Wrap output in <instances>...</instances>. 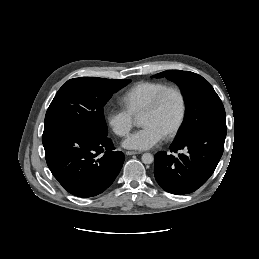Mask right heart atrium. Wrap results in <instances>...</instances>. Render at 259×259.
I'll return each instance as SVG.
<instances>
[{
    "label": "right heart atrium",
    "mask_w": 259,
    "mask_h": 259,
    "mask_svg": "<svg viewBox=\"0 0 259 259\" xmlns=\"http://www.w3.org/2000/svg\"><path fill=\"white\" fill-rule=\"evenodd\" d=\"M106 120L111 130L119 137H125L133 128L136 117L126 108H112L106 113Z\"/></svg>",
    "instance_id": "obj_1"
}]
</instances>
